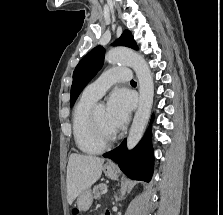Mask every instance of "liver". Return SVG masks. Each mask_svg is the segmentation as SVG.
Wrapping results in <instances>:
<instances>
[{"label":"liver","mask_w":223,"mask_h":215,"mask_svg":"<svg viewBox=\"0 0 223 215\" xmlns=\"http://www.w3.org/2000/svg\"><path fill=\"white\" fill-rule=\"evenodd\" d=\"M103 157L71 153L67 165V201L73 203L77 195L89 189L102 173Z\"/></svg>","instance_id":"6515ba94"}]
</instances>
